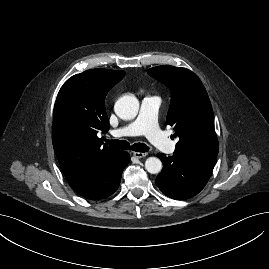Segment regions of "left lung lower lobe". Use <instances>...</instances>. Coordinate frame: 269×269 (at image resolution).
<instances>
[{
    "label": "left lung lower lobe",
    "instance_id": "obj_1",
    "mask_svg": "<svg viewBox=\"0 0 269 269\" xmlns=\"http://www.w3.org/2000/svg\"><path fill=\"white\" fill-rule=\"evenodd\" d=\"M218 154L176 148L172 157L158 153L163 169L156 185L166 196L183 200L198 194L208 182Z\"/></svg>",
    "mask_w": 269,
    "mask_h": 269
}]
</instances>
